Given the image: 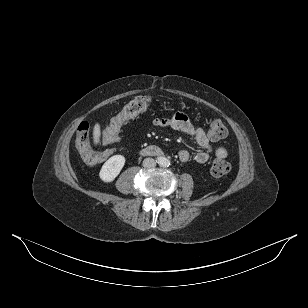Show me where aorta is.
<instances>
[{"label":"aorta","instance_id":"obj_1","mask_svg":"<svg viewBox=\"0 0 308 308\" xmlns=\"http://www.w3.org/2000/svg\"><path fill=\"white\" fill-rule=\"evenodd\" d=\"M159 165L162 167H168L170 165V160L165 157H160L159 158Z\"/></svg>","mask_w":308,"mask_h":308}]
</instances>
